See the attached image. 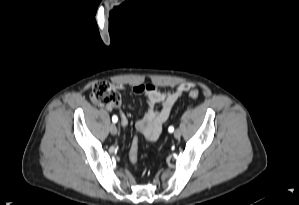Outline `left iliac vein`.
<instances>
[{
	"label": "left iliac vein",
	"mask_w": 299,
	"mask_h": 205,
	"mask_svg": "<svg viewBox=\"0 0 299 205\" xmlns=\"http://www.w3.org/2000/svg\"><path fill=\"white\" fill-rule=\"evenodd\" d=\"M174 137H175L176 139H179V138L181 137V131H180L179 129L175 130V132H174Z\"/></svg>",
	"instance_id": "4c4485c4"
}]
</instances>
